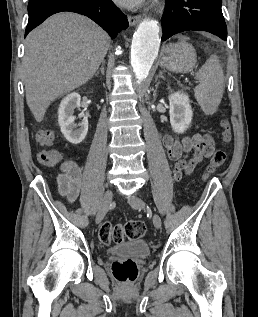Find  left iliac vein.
Masks as SVG:
<instances>
[{"mask_svg": "<svg viewBox=\"0 0 258 317\" xmlns=\"http://www.w3.org/2000/svg\"><path fill=\"white\" fill-rule=\"evenodd\" d=\"M133 198H129V203H131L132 208L133 209H141L143 206V200L141 197H136L133 195ZM153 223L155 225L156 228H161L162 227V219L160 218L159 214H154L153 215Z\"/></svg>", "mask_w": 258, "mask_h": 317, "instance_id": "obj_1", "label": "left iliac vein"}]
</instances>
